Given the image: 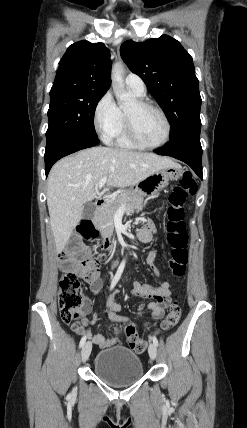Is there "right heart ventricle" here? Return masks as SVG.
<instances>
[{"label":"right heart ventricle","instance_id":"e07e8e85","mask_svg":"<svg viewBox=\"0 0 247 428\" xmlns=\"http://www.w3.org/2000/svg\"><path fill=\"white\" fill-rule=\"evenodd\" d=\"M133 92V91H132ZM134 93V92H133ZM137 97H141L140 95L134 93ZM121 113V123L119 130L114 138L116 146L123 148V149H136L138 146H136L128 137L126 126H125V118H124V112L120 110Z\"/></svg>","mask_w":247,"mask_h":428}]
</instances>
